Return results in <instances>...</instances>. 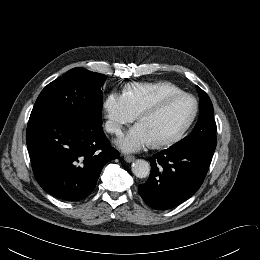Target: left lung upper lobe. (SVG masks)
Here are the masks:
<instances>
[{"mask_svg": "<svg viewBox=\"0 0 260 260\" xmlns=\"http://www.w3.org/2000/svg\"><path fill=\"white\" fill-rule=\"evenodd\" d=\"M200 96V116L189 136L174 145L183 149H202L214 152L216 148V123L213 118V105L209 96L197 86Z\"/></svg>", "mask_w": 260, "mask_h": 260, "instance_id": "left-lung-upper-lobe-1", "label": "left lung upper lobe"}]
</instances>
